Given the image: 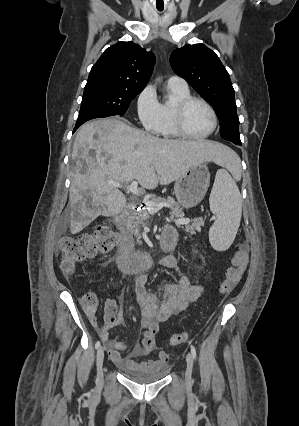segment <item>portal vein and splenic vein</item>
Wrapping results in <instances>:
<instances>
[{
  "label": "portal vein and splenic vein",
  "instance_id": "1",
  "mask_svg": "<svg viewBox=\"0 0 299 426\" xmlns=\"http://www.w3.org/2000/svg\"><path fill=\"white\" fill-rule=\"evenodd\" d=\"M110 184L112 186H115V187H123L122 184H120L118 182H114V181H111ZM125 187L132 194H134L136 196H140L141 195V192L138 189V182L137 181H133L130 185H126ZM145 204H146L147 210L150 213H156L159 210H161L163 207H167L168 206V204H166V203H163V202L153 203L150 200H147L145 202ZM189 222H190L189 219H178V220H176V224H188Z\"/></svg>",
  "mask_w": 299,
  "mask_h": 426
}]
</instances>
